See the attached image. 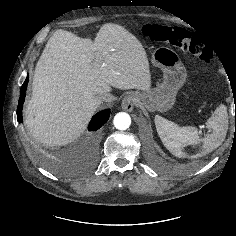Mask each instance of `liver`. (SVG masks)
Returning <instances> with one entry per match:
<instances>
[{
  "mask_svg": "<svg viewBox=\"0 0 236 236\" xmlns=\"http://www.w3.org/2000/svg\"><path fill=\"white\" fill-rule=\"evenodd\" d=\"M150 86L146 51L123 26L102 25L94 42L59 29L37 62L25 124L36 141L63 146L85 130L103 93Z\"/></svg>",
  "mask_w": 236,
  "mask_h": 236,
  "instance_id": "6515ba94",
  "label": "liver"
}]
</instances>
